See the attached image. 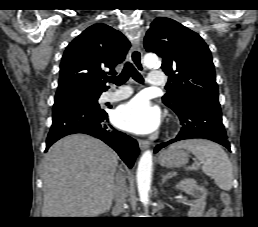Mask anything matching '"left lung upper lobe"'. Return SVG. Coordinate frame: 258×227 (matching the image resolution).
<instances>
[{
	"label": "left lung upper lobe",
	"instance_id": "left-lung-upper-lobe-1",
	"mask_svg": "<svg viewBox=\"0 0 258 227\" xmlns=\"http://www.w3.org/2000/svg\"><path fill=\"white\" fill-rule=\"evenodd\" d=\"M144 47L163 58L161 67L169 75V91L162 98L165 105L178 111L197 100L218 101L211 52L197 33L159 17L152 22Z\"/></svg>",
	"mask_w": 258,
	"mask_h": 227
}]
</instances>
